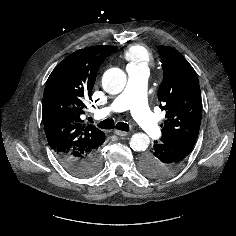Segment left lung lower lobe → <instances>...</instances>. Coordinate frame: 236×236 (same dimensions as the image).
<instances>
[{"mask_svg":"<svg viewBox=\"0 0 236 236\" xmlns=\"http://www.w3.org/2000/svg\"><path fill=\"white\" fill-rule=\"evenodd\" d=\"M195 142L194 139H181L169 143L155 142L152 151L141 159L143 173L154 179L172 175L182 167Z\"/></svg>","mask_w":236,"mask_h":236,"instance_id":"left-lung-lower-lobe-1","label":"left lung lower lobe"}]
</instances>
